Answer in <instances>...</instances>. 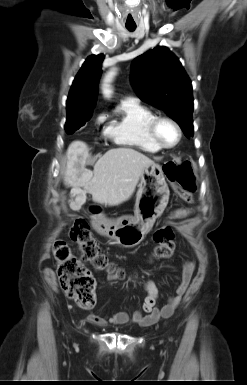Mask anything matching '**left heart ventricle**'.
Returning a JSON list of instances; mask_svg holds the SVG:
<instances>
[{"label": "left heart ventricle", "mask_w": 247, "mask_h": 385, "mask_svg": "<svg viewBox=\"0 0 247 385\" xmlns=\"http://www.w3.org/2000/svg\"><path fill=\"white\" fill-rule=\"evenodd\" d=\"M158 136L166 145H172L176 142L178 134L173 125L168 122H162L158 127Z\"/></svg>", "instance_id": "left-heart-ventricle-1"}]
</instances>
